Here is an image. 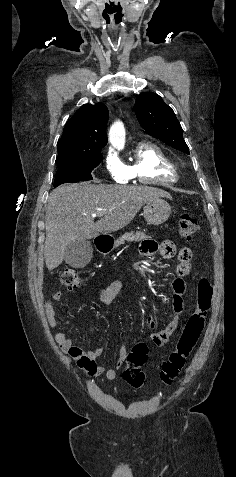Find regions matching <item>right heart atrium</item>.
Returning a JSON list of instances; mask_svg holds the SVG:
<instances>
[{"mask_svg": "<svg viewBox=\"0 0 236 477\" xmlns=\"http://www.w3.org/2000/svg\"><path fill=\"white\" fill-rule=\"evenodd\" d=\"M105 167L113 180L118 183H127L131 178L127 166L112 152L105 157Z\"/></svg>", "mask_w": 236, "mask_h": 477, "instance_id": "d8ad5b80", "label": "right heart atrium"}]
</instances>
